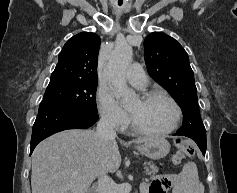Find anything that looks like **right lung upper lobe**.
Segmentation results:
<instances>
[{
  "instance_id": "obj_1",
  "label": "right lung upper lobe",
  "mask_w": 237,
  "mask_h": 193,
  "mask_svg": "<svg viewBox=\"0 0 237 193\" xmlns=\"http://www.w3.org/2000/svg\"><path fill=\"white\" fill-rule=\"evenodd\" d=\"M100 37L82 32L70 38L59 54L53 76L97 80V55Z\"/></svg>"
}]
</instances>
